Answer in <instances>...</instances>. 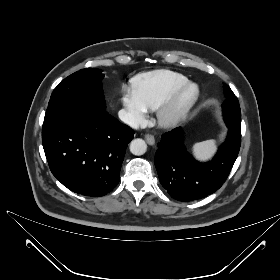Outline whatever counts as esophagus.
<instances>
[{
  "instance_id": "esophagus-1",
  "label": "esophagus",
  "mask_w": 280,
  "mask_h": 280,
  "mask_svg": "<svg viewBox=\"0 0 280 280\" xmlns=\"http://www.w3.org/2000/svg\"><path fill=\"white\" fill-rule=\"evenodd\" d=\"M145 139H146V142L149 144V145H154L155 144V138L153 135L151 134H146L145 135Z\"/></svg>"
}]
</instances>
